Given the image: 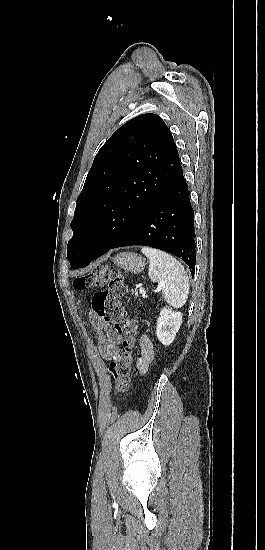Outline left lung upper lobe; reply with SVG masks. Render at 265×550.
Segmentation results:
<instances>
[{"mask_svg": "<svg viewBox=\"0 0 265 550\" xmlns=\"http://www.w3.org/2000/svg\"><path fill=\"white\" fill-rule=\"evenodd\" d=\"M181 168L164 121L137 116L98 151L76 201L67 258L72 269L107 250L139 217Z\"/></svg>", "mask_w": 265, "mask_h": 550, "instance_id": "1", "label": "left lung upper lobe"}]
</instances>
